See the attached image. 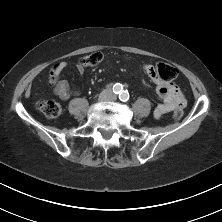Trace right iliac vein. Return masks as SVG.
Returning a JSON list of instances; mask_svg holds the SVG:
<instances>
[{
  "instance_id": "right-iliac-vein-1",
  "label": "right iliac vein",
  "mask_w": 222,
  "mask_h": 222,
  "mask_svg": "<svg viewBox=\"0 0 222 222\" xmlns=\"http://www.w3.org/2000/svg\"><path fill=\"white\" fill-rule=\"evenodd\" d=\"M100 100H101V101L105 100V95H102V96L100 97Z\"/></svg>"
}]
</instances>
